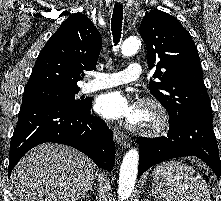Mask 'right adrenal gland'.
Instances as JSON below:
<instances>
[{
  "label": "right adrenal gland",
  "instance_id": "obj_1",
  "mask_svg": "<svg viewBox=\"0 0 221 201\" xmlns=\"http://www.w3.org/2000/svg\"><path fill=\"white\" fill-rule=\"evenodd\" d=\"M95 188V184L93 183L92 186L89 188V190L86 192V194H84L82 196V198H85V196H87V193L90 192V193H93V189Z\"/></svg>",
  "mask_w": 221,
  "mask_h": 201
}]
</instances>
